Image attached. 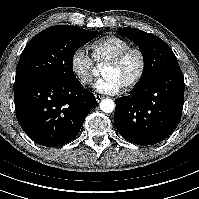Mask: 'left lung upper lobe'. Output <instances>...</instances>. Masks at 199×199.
Instances as JSON below:
<instances>
[{
	"instance_id": "1",
	"label": "left lung upper lobe",
	"mask_w": 199,
	"mask_h": 199,
	"mask_svg": "<svg viewBox=\"0 0 199 199\" xmlns=\"http://www.w3.org/2000/svg\"><path fill=\"white\" fill-rule=\"evenodd\" d=\"M120 35L135 42L144 58V71L136 86L142 85L164 70L178 66L172 49L159 37L135 28L124 27Z\"/></svg>"
}]
</instances>
